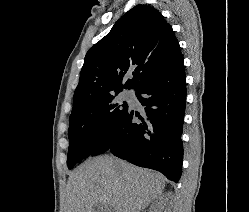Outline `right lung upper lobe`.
<instances>
[{
	"label": "right lung upper lobe",
	"mask_w": 249,
	"mask_h": 212,
	"mask_svg": "<svg viewBox=\"0 0 249 212\" xmlns=\"http://www.w3.org/2000/svg\"><path fill=\"white\" fill-rule=\"evenodd\" d=\"M180 55L178 40L161 13L139 4L87 52L73 108L119 93L123 88L136 90ZM127 72L134 76L122 84Z\"/></svg>",
	"instance_id": "cb5924a9"
}]
</instances>
